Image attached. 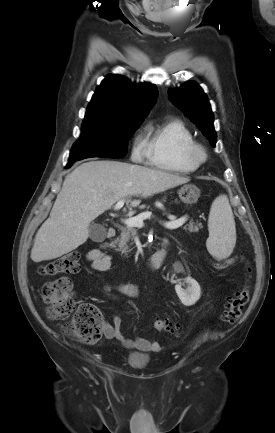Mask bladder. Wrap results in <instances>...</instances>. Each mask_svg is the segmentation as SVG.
<instances>
[{"mask_svg": "<svg viewBox=\"0 0 275 433\" xmlns=\"http://www.w3.org/2000/svg\"><path fill=\"white\" fill-rule=\"evenodd\" d=\"M127 360L131 366L143 368L147 365L149 356L147 354L132 352L128 355Z\"/></svg>", "mask_w": 275, "mask_h": 433, "instance_id": "bladder-1", "label": "bladder"}]
</instances>
